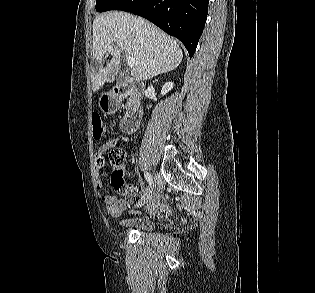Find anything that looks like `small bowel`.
<instances>
[{"instance_id": "1", "label": "small bowel", "mask_w": 315, "mask_h": 293, "mask_svg": "<svg viewBox=\"0 0 315 293\" xmlns=\"http://www.w3.org/2000/svg\"><path fill=\"white\" fill-rule=\"evenodd\" d=\"M126 141L123 136H116L109 139L105 144H103L97 151V157H100L104 152H106L112 146L118 144L119 142ZM98 170V167H97ZM96 188L101 190L103 184L100 179H96ZM133 190H126L125 199H118L112 194L102 195L101 199L107 207V211L111 214H117L125 210L131 202L136 201L137 188L132 187ZM148 212L152 215L166 217L171 214L172 208L166 201V199L158 194H155L148 204Z\"/></svg>"}]
</instances>
